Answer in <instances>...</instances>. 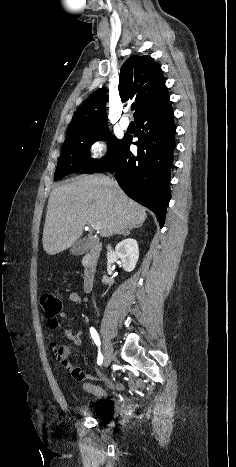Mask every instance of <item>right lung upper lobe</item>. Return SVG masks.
I'll list each match as a JSON object with an SVG mask.
<instances>
[{
  "label": "right lung upper lobe",
  "instance_id": "obj_1",
  "mask_svg": "<svg viewBox=\"0 0 236 467\" xmlns=\"http://www.w3.org/2000/svg\"><path fill=\"white\" fill-rule=\"evenodd\" d=\"M118 89L122 102L135 100V120L169 97L160 65L147 55H134L123 63ZM106 91L105 87L96 90L77 109L67 134L107 128Z\"/></svg>",
  "mask_w": 236,
  "mask_h": 467
}]
</instances>
